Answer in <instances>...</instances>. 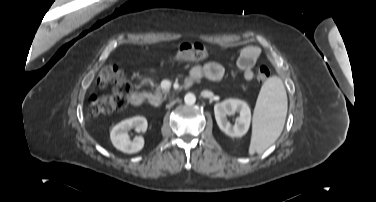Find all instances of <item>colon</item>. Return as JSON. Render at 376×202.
Returning <instances> with one entry per match:
<instances>
[{
  "label": "colon",
  "mask_w": 376,
  "mask_h": 202,
  "mask_svg": "<svg viewBox=\"0 0 376 202\" xmlns=\"http://www.w3.org/2000/svg\"><path fill=\"white\" fill-rule=\"evenodd\" d=\"M211 54L210 48L198 42H186L174 47L168 55L171 61H199L207 59ZM270 77V70L265 64H261L257 70V79L261 82ZM100 86L114 85L110 96L91 98L89 113L91 116L109 114L124 109L129 102L132 86L126 79L123 71L116 66L104 67L97 78Z\"/></svg>",
  "instance_id": "1"
}]
</instances>
